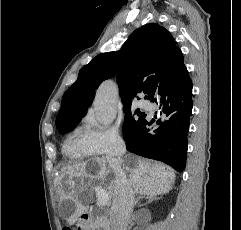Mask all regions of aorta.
<instances>
[{
    "label": "aorta",
    "instance_id": "1",
    "mask_svg": "<svg viewBox=\"0 0 241 230\" xmlns=\"http://www.w3.org/2000/svg\"><path fill=\"white\" fill-rule=\"evenodd\" d=\"M117 97V88L112 81H104L99 86L94 99L93 109L96 120L100 124L108 126L116 118Z\"/></svg>",
    "mask_w": 241,
    "mask_h": 230
}]
</instances>
